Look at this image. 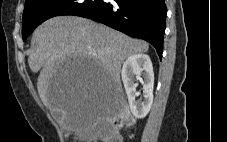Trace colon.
<instances>
[{"label": "colon", "instance_id": "1", "mask_svg": "<svg viewBox=\"0 0 227 142\" xmlns=\"http://www.w3.org/2000/svg\"><path fill=\"white\" fill-rule=\"evenodd\" d=\"M134 119L123 109L118 110L103 128L104 142H121L120 129L123 125H133Z\"/></svg>", "mask_w": 227, "mask_h": 142}]
</instances>
